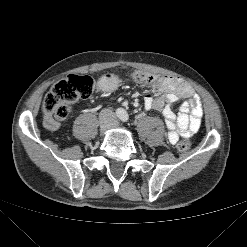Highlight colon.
<instances>
[{
    "instance_id": "5ec220e1",
    "label": "colon",
    "mask_w": 247,
    "mask_h": 247,
    "mask_svg": "<svg viewBox=\"0 0 247 247\" xmlns=\"http://www.w3.org/2000/svg\"><path fill=\"white\" fill-rule=\"evenodd\" d=\"M129 77L136 82L146 84H159L165 80L162 76L145 71H135ZM92 90L93 81L87 75H69L58 81L48 94L44 104L46 127L49 129L58 127L70 113L69 104L88 98ZM191 145V140L184 138L177 146L180 150L185 151Z\"/></svg>"
}]
</instances>
